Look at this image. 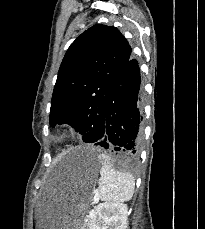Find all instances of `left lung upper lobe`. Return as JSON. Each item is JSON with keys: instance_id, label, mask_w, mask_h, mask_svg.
<instances>
[{"instance_id": "5c2ea615", "label": "left lung upper lobe", "mask_w": 205, "mask_h": 229, "mask_svg": "<svg viewBox=\"0 0 205 229\" xmlns=\"http://www.w3.org/2000/svg\"><path fill=\"white\" fill-rule=\"evenodd\" d=\"M131 57L115 27L96 24L68 48L54 87L50 126L69 124L89 142L88 132L103 121L108 94Z\"/></svg>"}]
</instances>
